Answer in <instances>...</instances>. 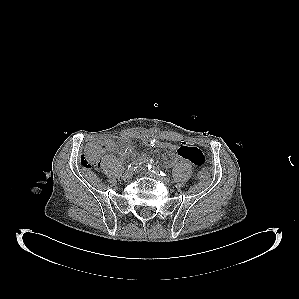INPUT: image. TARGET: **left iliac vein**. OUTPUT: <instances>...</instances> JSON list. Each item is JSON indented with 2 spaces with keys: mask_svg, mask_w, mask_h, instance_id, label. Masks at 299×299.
<instances>
[{
  "mask_svg": "<svg viewBox=\"0 0 299 299\" xmlns=\"http://www.w3.org/2000/svg\"><path fill=\"white\" fill-rule=\"evenodd\" d=\"M144 173V172H143ZM145 175H147V176H149V177H153V178H156V179H158V180H161V181H163V182H165V183H169V178H165V177H161V176H159V175H156V174H154V173H150V172H145Z\"/></svg>",
  "mask_w": 299,
  "mask_h": 299,
  "instance_id": "1",
  "label": "left iliac vein"
}]
</instances>
